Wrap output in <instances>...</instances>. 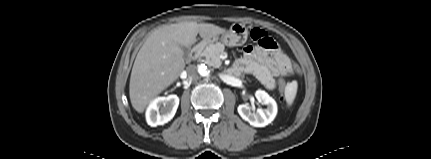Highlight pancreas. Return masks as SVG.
<instances>
[{"instance_id": "1", "label": "pancreas", "mask_w": 431, "mask_h": 159, "mask_svg": "<svg viewBox=\"0 0 431 159\" xmlns=\"http://www.w3.org/2000/svg\"><path fill=\"white\" fill-rule=\"evenodd\" d=\"M224 50L225 46L222 43L211 44L202 52L201 56L204 57V62L208 66L218 68L221 65L220 55L224 53Z\"/></svg>"}]
</instances>
